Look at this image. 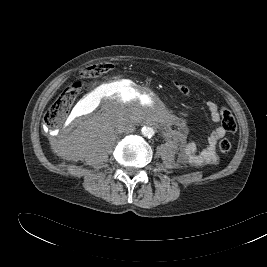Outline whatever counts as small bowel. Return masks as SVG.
Masks as SVG:
<instances>
[{
	"label": "small bowel",
	"instance_id": "small-bowel-1",
	"mask_svg": "<svg viewBox=\"0 0 267 267\" xmlns=\"http://www.w3.org/2000/svg\"><path fill=\"white\" fill-rule=\"evenodd\" d=\"M206 107L212 121L216 124L207 139L206 147L199 148L196 144L189 143L183 145L180 150L181 158L187 163L195 166L215 164L218 161L216 145L228 131L221 124V108L212 101L207 102Z\"/></svg>",
	"mask_w": 267,
	"mask_h": 267
}]
</instances>
